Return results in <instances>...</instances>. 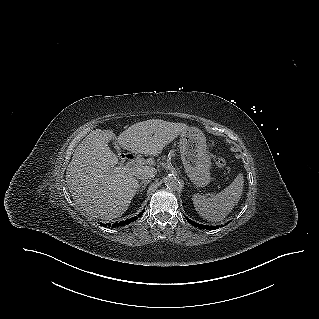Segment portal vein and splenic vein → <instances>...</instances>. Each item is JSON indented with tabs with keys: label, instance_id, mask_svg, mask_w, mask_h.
<instances>
[{
	"label": "portal vein and splenic vein",
	"instance_id": "portal-vein-and-splenic-vein-1",
	"mask_svg": "<svg viewBox=\"0 0 319 319\" xmlns=\"http://www.w3.org/2000/svg\"><path fill=\"white\" fill-rule=\"evenodd\" d=\"M147 161H146V163H148ZM141 164H143V163L136 159V160L130 161L127 166L137 167L138 165H141Z\"/></svg>",
	"mask_w": 319,
	"mask_h": 319
}]
</instances>
